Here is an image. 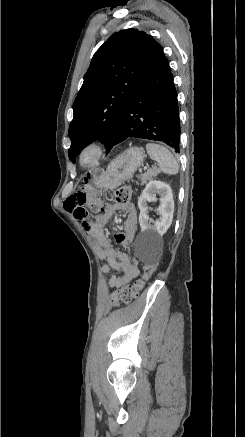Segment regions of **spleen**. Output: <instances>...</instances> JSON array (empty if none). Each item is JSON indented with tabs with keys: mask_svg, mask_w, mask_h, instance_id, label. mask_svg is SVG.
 Masks as SVG:
<instances>
[{
	"mask_svg": "<svg viewBox=\"0 0 245 437\" xmlns=\"http://www.w3.org/2000/svg\"><path fill=\"white\" fill-rule=\"evenodd\" d=\"M146 150L150 158L158 163L162 172L171 175L178 173V160L167 148L160 144L148 143Z\"/></svg>",
	"mask_w": 245,
	"mask_h": 437,
	"instance_id": "3e777b00",
	"label": "spleen"
}]
</instances>
